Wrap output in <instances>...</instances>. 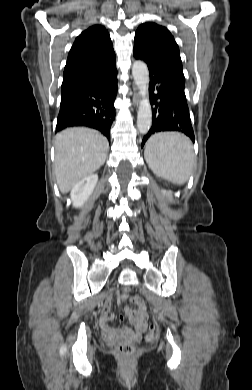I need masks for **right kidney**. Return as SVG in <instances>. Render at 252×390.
Returning a JSON list of instances; mask_svg holds the SVG:
<instances>
[{
	"instance_id": "obj_1",
	"label": "right kidney",
	"mask_w": 252,
	"mask_h": 390,
	"mask_svg": "<svg viewBox=\"0 0 252 390\" xmlns=\"http://www.w3.org/2000/svg\"><path fill=\"white\" fill-rule=\"evenodd\" d=\"M98 182V175L92 174L80 180L71 190L70 197L75 207H81L92 194Z\"/></svg>"
}]
</instances>
